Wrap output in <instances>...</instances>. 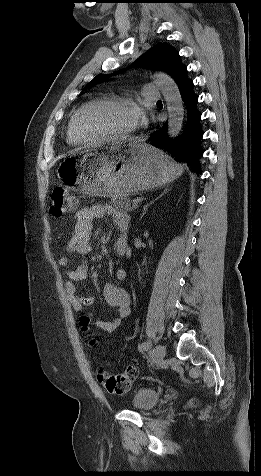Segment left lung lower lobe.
<instances>
[{"label":"left lung lower lobe","mask_w":261,"mask_h":476,"mask_svg":"<svg viewBox=\"0 0 261 476\" xmlns=\"http://www.w3.org/2000/svg\"><path fill=\"white\" fill-rule=\"evenodd\" d=\"M182 99L186 105L187 121L183 134L176 138L168 135L167 123L150 134L149 144L174 157L178 162L186 163L193 171L201 173L199 158L203 154L200 140L203 131L200 126L201 113L197 109L198 96L193 91V81L187 76V67L175 79Z\"/></svg>","instance_id":"0a47b994"}]
</instances>
